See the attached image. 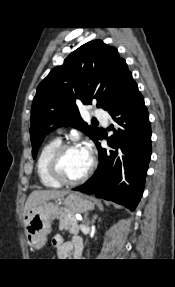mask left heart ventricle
I'll return each mask as SVG.
<instances>
[{"label":"left heart ventricle","instance_id":"obj_1","mask_svg":"<svg viewBox=\"0 0 175 287\" xmlns=\"http://www.w3.org/2000/svg\"><path fill=\"white\" fill-rule=\"evenodd\" d=\"M90 163L91 159L81 148H73L62 156L61 169L67 178L76 179L86 172Z\"/></svg>","mask_w":175,"mask_h":287}]
</instances>
